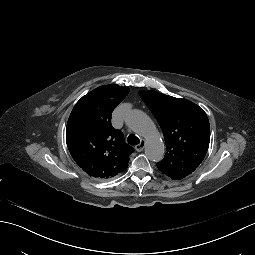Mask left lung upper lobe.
<instances>
[{
  "label": "left lung upper lobe",
  "instance_id": "1",
  "mask_svg": "<svg viewBox=\"0 0 255 255\" xmlns=\"http://www.w3.org/2000/svg\"><path fill=\"white\" fill-rule=\"evenodd\" d=\"M141 98L157 119L165 138L167 152L158 169L180 180L203 161L210 142L206 113L196 104L156 91H140Z\"/></svg>",
  "mask_w": 255,
  "mask_h": 255
}]
</instances>
